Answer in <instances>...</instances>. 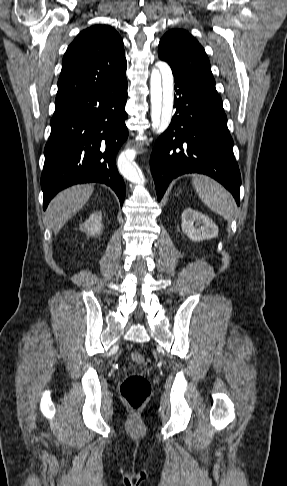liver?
<instances>
[{"label":"liver","mask_w":287,"mask_h":486,"mask_svg":"<svg viewBox=\"0 0 287 486\" xmlns=\"http://www.w3.org/2000/svg\"><path fill=\"white\" fill-rule=\"evenodd\" d=\"M93 190V186L89 184L72 186L60 192L51 201L47 210V217L55 234L82 209L92 195Z\"/></svg>","instance_id":"liver-1"}]
</instances>
